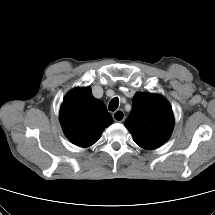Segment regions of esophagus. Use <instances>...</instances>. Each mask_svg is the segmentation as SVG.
I'll use <instances>...</instances> for the list:
<instances>
[{"label":"esophagus","instance_id":"esophagus-1","mask_svg":"<svg viewBox=\"0 0 215 215\" xmlns=\"http://www.w3.org/2000/svg\"><path fill=\"white\" fill-rule=\"evenodd\" d=\"M112 117L116 122H123L125 120V113L123 110L118 109L113 113Z\"/></svg>","mask_w":215,"mask_h":215}]
</instances>
